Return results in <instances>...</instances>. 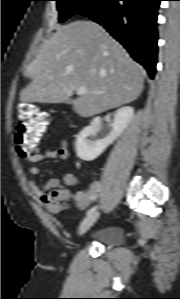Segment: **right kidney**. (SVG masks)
<instances>
[{
  "instance_id": "1",
  "label": "right kidney",
  "mask_w": 180,
  "mask_h": 299,
  "mask_svg": "<svg viewBox=\"0 0 180 299\" xmlns=\"http://www.w3.org/2000/svg\"><path fill=\"white\" fill-rule=\"evenodd\" d=\"M134 115V109L131 106H125L118 109L114 114L112 130L108 136L103 139L90 141L88 137L99 131L101 118H94L89 126H86L77 136L75 148L77 156L84 161L96 159L104 150L111 145L127 128Z\"/></svg>"
}]
</instances>
